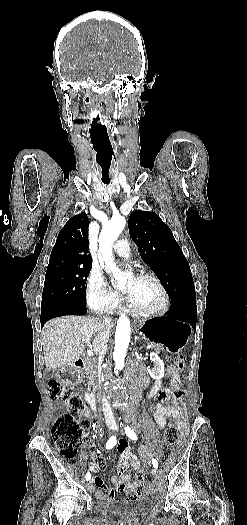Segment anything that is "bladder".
Instances as JSON below:
<instances>
[{
	"label": "bladder",
	"instance_id": "31cf9c89",
	"mask_svg": "<svg viewBox=\"0 0 247 525\" xmlns=\"http://www.w3.org/2000/svg\"><path fill=\"white\" fill-rule=\"evenodd\" d=\"M154 504V498L144 494L136 498L111 500L106 505L107 511L116 517L139 518L147 515Z\"/></svg>",
	"mask_w": 247,
	"mask_h": 525
}]
</instances>
